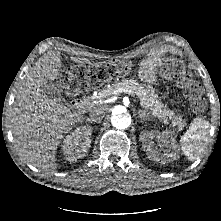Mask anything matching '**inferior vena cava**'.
<instances>
[{"instance_id": "1", "label": "inferior vena cava", "mask_w": 221, "mask_h": 221, "mask_svg": "<svg viewBox=\"0 0 221 221\" xmlns=\"http://www.w3.org/2000/svg\"><path fill=\"white\" fill-rule=\"evenodd\" d=\"M105 110L106 108L101 105L94 106L89 114V119L88 121L93 123V122H101L105 115Z\"/></svg>"}]
</instances>
